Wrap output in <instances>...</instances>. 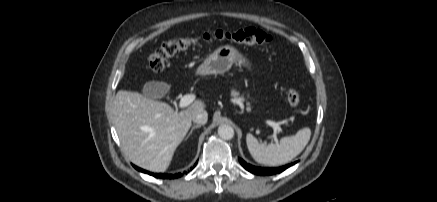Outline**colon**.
Wrapping results in <instances>:
<instances>
[{
	"label": "colon",
	"mask_w": 437,
	"mask_h": 202,
	"mask_svg": "<svg viewBox=\"0 0 437 202\" xmlns=\"http://www.w3.org/2000/svg\"><path fill=\"white\" fill-rule=\"evenodd\" d=\"M232 42L244 45L269 46L272 37L256 28H243L235 31L214 30L195 38L179 37L164 42L148 59V69L153 73L162 71L168 60L176 54L205 42ZM288 103L296 107L300 103V94L295 88L287 92Z\"/></svg>",
	"instance_id": "5ec220e1"
}]
</instances>
